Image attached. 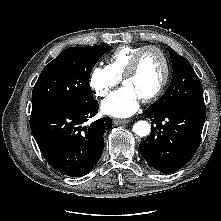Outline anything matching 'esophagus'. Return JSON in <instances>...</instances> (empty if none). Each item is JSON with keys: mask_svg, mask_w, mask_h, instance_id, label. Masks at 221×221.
I'll list each match as a JSON object with an SVG mask.
<instances>
[{"mask_svg": "<svg viewBox=\"0 0 221 221\" xmlns=\"http://www.w3.org/2000/svg\"><path fill=\"white\" fill-rule=\"evenodd\" d=\"M130 122V120H122V119H114L113 120V124L114 125H123V124H127V123H129Z\"/></svg>", "mask_w": 221, "mask_h": 221, "instance_id": "1", "label": "esophagus"}]
</instances>
